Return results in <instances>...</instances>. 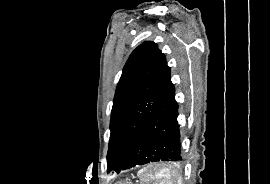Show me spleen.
Returning <instances> with one entry per match:
<instances>
[{"label": "spleen", "mask_w": 270, "mask_h": 184, "mask_svg": "<svg viewBox=\"0 0 270 184\" xmlns=\"http://www.w3.org/2000/svg\"><path fill=\"white\" fill-rule=\"evenodd\" d=\"M143 183L150 184V181L156 180L159 184H182L181 177L171 167H161L149 165L139 172ZM157 184V183H156Z\"/></svg>", "instance_id": "obj_1"}]
</instances>
